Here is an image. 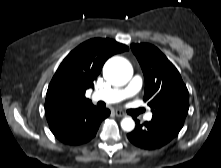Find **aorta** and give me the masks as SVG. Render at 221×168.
I'll return each instance as SVG.
<instances>
[{
	"label": "aorta",
	"instance_id": "aorta-1",
	"mask_svg": "<svg viewBox=\"0 0 221 168\" xmlns=\"http://www.w3.org/2000/svg\"><path fill=\"white\" fill-rule=\"evenodd\" d=\"M103 75L113 85L123 86L131 79L133 69L125 58L113 57L104 65ZM121 127L124 131L130 132L135 128V122L131 117H125L121 121Z\"/></svg>",
	"mask_w": 221,
	"mask_h": 168
}]
</instances>
